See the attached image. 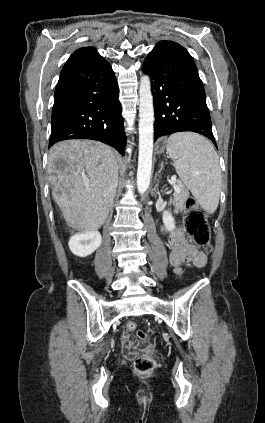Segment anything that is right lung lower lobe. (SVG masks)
I'll return each instance as SVG.
<instances>
[{"label":"right lung lower lobe","instance_id":"right-lung-lower-lobe-1","mask_svg":"<svg viewBox=\"0 0 265 423\" xmlns=\"http://www.w3.org/2000/svg\"><path fill=\"white\" fill-rule=\"evenodd\" d=\"M118 96L116 78L104 58H69L55 89L49 147L67 139H91L123 154L126 136Z\"/></svg>","mask_w":265,"mask_h":423}]
</instances>
